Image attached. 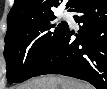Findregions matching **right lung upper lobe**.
Listing matches in <instances>:
<instances>
[{
	"instance_id": "right-lung-upper-lobe-1",
	"label": "right lung upper lobe",
	"mask_w": 107,
	"mask_h": 89,
	"mask_svg": "<svg viewBox=\"0 0 107 89\" xmlns=\"http://www.w3.org/2000/svg\"><path fill=\"white\" fill-rule=\"evenodd\" d=\"M75 1L69 0L67 7L71 8ZM59 5V0H15L7 17L8 27L25 21L52 16V9Z\"/></svg>"
}]
</instances>
